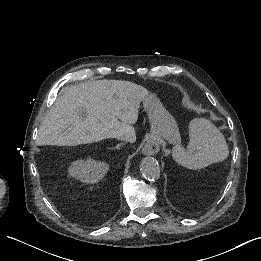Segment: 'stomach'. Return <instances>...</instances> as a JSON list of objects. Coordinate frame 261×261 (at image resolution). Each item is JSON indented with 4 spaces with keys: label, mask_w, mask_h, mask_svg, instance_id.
<instances>
[{
    "label": "stomach",
    "mask_w": 261,
    "mask_h": 261,
    "mask_svg": "<svg viewBox=\"0 0 261 261\" xmlns=\"http://www.w3.org/2000/svg\"><path fill=\"white\" fill-rule=\"evenodd\" d=\"M142 103L148 114L151 135L164 138L170 143H177L180 138L177 123L160 100L155 95L149 94L142 100Z\"/></svg>",
    "instance_id": "stomach-1"
}]
</instances>
